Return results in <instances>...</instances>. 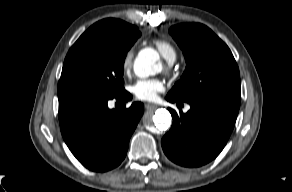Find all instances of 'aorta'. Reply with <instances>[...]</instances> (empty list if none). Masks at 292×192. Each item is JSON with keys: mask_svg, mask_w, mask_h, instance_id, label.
Segmentation results:
<instances>
[{"mask_svg": "<svg viewBox=\"0 0 292 192\" xmlns=\"http://www.w3.org/2000/svg\"><path fill=\"white\" fill-rule=\"evenodd\" d=\"M159 56L153 49H144L140 51L134 61V72L140 78H146L160 71L158 65ZM171 115L166 109H158L148 122V126L155 125L160 131H165L171 124Z\"/></svg>", "mask_w": 292, "mask_h": 192, "instance_id": "762f6f07", "label": "aorta"}]
</instances>
